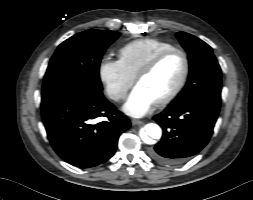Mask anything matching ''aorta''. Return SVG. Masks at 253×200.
<instances>
[{
    "label": "aorta",
    "mask_w": 253,
    "mask_h": 200,
    "mask_svg": "<svg viewBox=\"0 0 253 200\" xmlns=\"http://www.w3.org/2000/svg\"><path fill=\"white\" fill-rule=\"evenodd\" d=\"M161 135V128L155 123L145 125L144 130L140 132V137L145 143H150L152 139H160Z\"/></svg>",
    "instance_id": "obj_1"
}]
</instances>
